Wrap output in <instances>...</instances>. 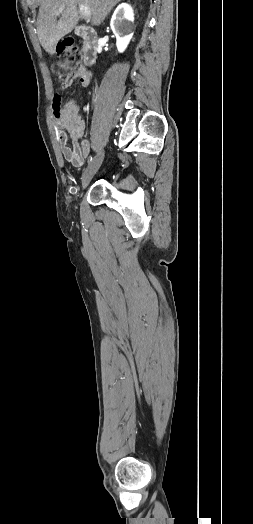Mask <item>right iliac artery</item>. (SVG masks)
<instances>
[{
  "mask_svg": "<svg viewBox=\"0 0 253 524\" xmlns=\"http://www.w3.org/2000/svg\"><path fill=\"white\" fill-rule=\"evenodd\" d=\"M92 160H93V156L90 155L89 158H88V164H90Z\"/></svg>",
  "mask_w": 253,
  "mask_h": 524,
  "instance_id": "82829eb1",
  "label": "right iliac artery"
}]
</instances>
